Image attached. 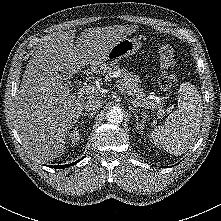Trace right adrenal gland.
<instances>
[{
    "instance_id": "right-adrenal-gland-1",
    "label": "right adrenal gland",
    "mask_w": 221,
    "mask_h": 221,
    "mask_svg": "<svg viewBox=\"0 0 221 221\" xmlns=\"http://www.w3.org/2000/svg\"><path fill=\"white\" fill-rule=\"evenodd\" d=\"M82 116L84 115V116H90V117H94V115H95V112H93V113H87V112H83L82 114H81Z\"/></svg>"
}]
</instances>
